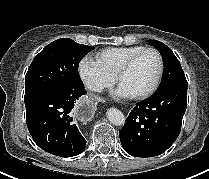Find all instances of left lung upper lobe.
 <instances>
[{
	"mask_svg": "<svg viewBox=\"0 0 209 179\" xmlns=\"http://www.w3.org/2000/svg\"><path fill=\"white\" fill-rule=\"evenodd\" d=\"M148 43L160 51L165 67L162 81L156 92L165 90L177 84H187L180 62L172 50L164 43L157 40H149Z\"/></svg>",
	"mask_w": 209,
	"mask_h": 179,
	"instance_id": "left-lung-upper-lobe-1",
	"label": "left lung upper lobe"
}]
</instances>
